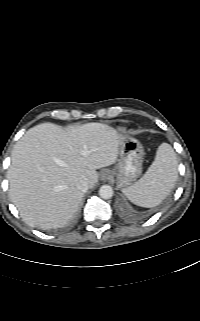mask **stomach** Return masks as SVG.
<instances>
[{
    "label": "stomach",
    "mask_w": 200,
    "mask_h": 321,
    "mask_svg": "<svg viewBox=\"0 0 200 321\" xmlns=\"http://www.w3.org/2000/svg\"><path fill=\"white\" fill-rule=\"evenodd\" d=\"M144 154L143 146L137 139L130 136L123 138L118 163L109 170L119 188L132 185L141 176Z\"/></svg>",
    "instance_id": "1"
}]
</instances>
